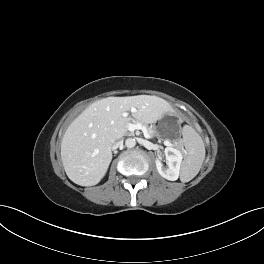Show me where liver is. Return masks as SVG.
Here are the masks:
<instances>
[{
	"mask_svg": "<svg viewBox=\"0 0 264 264\" xmlns=\"http://www.w3.org/2000/svg\"><path fill=\"white\" fill-rule=\"evenodd\" d=\"M155 123L171 112L167 101L156 96L108 97L86 108L67 128L61 142V160L68 178L81 186H94L105 176L115 140L126 135L130 118Z\"/></svg>",
	"mask_w": 264,
	"mask_h": 264,
	"instance_id": "liver-1",
	"label": "liver"
}]
</instances>
